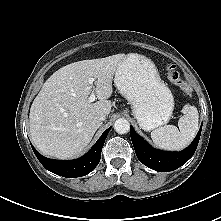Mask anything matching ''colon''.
Returning <instances> with one entry per match:
<instances>
[{
  "instance_id": "1",
  "label": "colon",
  "mask_w": 221,
  "mask_h": 221,
  "mask_svg": "<svg viewBox=\"0 0 221 221\" xmlns=\"http://www.w3.org/2000/svg\"><path fill=\"white\" fill-rule=\"evenodd\" d=\"M166 75L168 80L175 85L180 91L184 94H190V87L188 84L181 78L176 66L172 63H169L166 67Z\"/></svg>"
}]
</instances>
